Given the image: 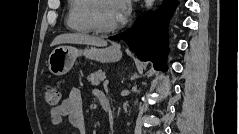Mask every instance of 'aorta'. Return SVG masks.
<instances>
[{
	"instance_id": "762f6f07",
	"label": "aorta",
	"mask_w": 239,
	"mask_h": 134,
	"mask_svg": "<svg viewBox=\"0 0 239 134\" xmlns=\"http://www.w3.org/2000/svg\"><path fill=\"white\" fill-rule=\"evenodd\" d=\"M145 7L147 8V10H150L155 2V0H145Z\"/></svg>"
}]
</instances>
